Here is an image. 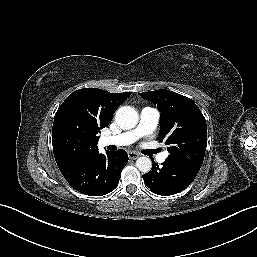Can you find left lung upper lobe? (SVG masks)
Here are the masks:
<instances>
[{
	"mask_svg": "<svg viewBox=\"0 0 257 257\" xmlns=\"http://www.w3.org/2000/svg\"><path fill=\"white\" fill-rule=\"evenodd\" d=\"M161 113L159 141L168 145V158L202 166L207 146V127L198 106L188 97L161 89L140 93Z\"/></svg>",
	"mask_w": 257,
	"mask_h": 257,
	"instance_id": "left-lung-upper-lobe-1",
	"label": "left lung upper lobe"
}]
</instances>
